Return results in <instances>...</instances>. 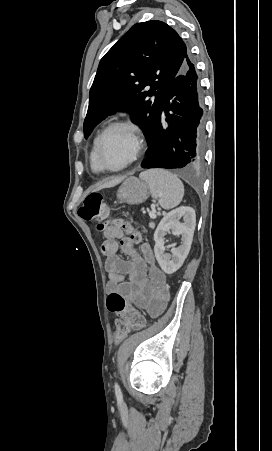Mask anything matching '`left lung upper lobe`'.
Segmentation results:
<instances>
[{
  "label": "left lung upper lobe",
  "mask_w": 272,
  "mask_h": 451,
  "mask_svg": "<svg viewBox=\"0 0 272 451\" xmlns=\"http://www.w3.org/2000/svg\"><path fill=\"white\" fill-rule=\"evenodd\" d=\"M187 48L161 21L135 24L101 59L90 89L84 137L117 110L131 113L151 140L167 89L182 69Z\"/></svg>",
  "instance_id": "obj_1"
}]
</instances>
